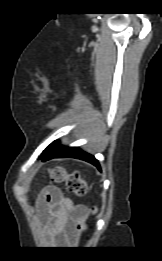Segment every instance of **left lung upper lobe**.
I'll use <instances>...</instances> for the list:
<instances>
[{"label": "left lung upper lobe", "instance_id": "obj_1", "mask_svg": "<svg viewBox=\"0 0 162 261\" xmlns=\"http://www.w3.org/2000/svg\"><path fill=\"white\" fill-rule=\"evenodd\" d=\"M58 143V141H54L53 143H51L47 148L46 150L43 152V155L44 156L50 149H52L56 144Z\"/></svg>", "mask_w": 162, "mask_h": 261}]
</instances>
